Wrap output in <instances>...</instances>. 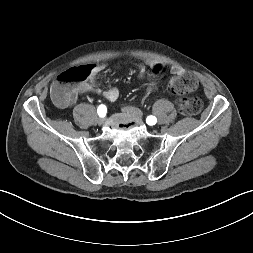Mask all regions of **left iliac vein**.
<instances>
[{
	"instance_id": "1",
	"label": "left iliac vein",
	"mask_w": 253,
	"mask_h": 253,
	"mask_svg": "<svg viewBox=\"0 0 253 253\" xmlns=\"http://www.w3.org/2000/svg\"><path fill=\"white\" fill-rule=\"evenodd\" d=\"M122 111H123L124 113L129 114V115H132V116H134V117H136V118H138V119H142V117H143L142 112H141L139 109H137V108H135V107H132V106L124 107V108L122 109Z\"/></svg>"
}]
</instances>
